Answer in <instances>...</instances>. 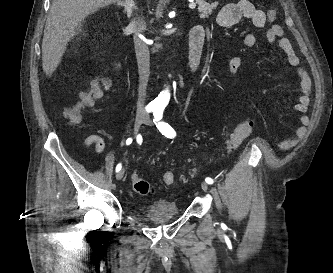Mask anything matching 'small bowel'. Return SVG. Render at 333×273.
Returning a JSON list of instances; mask_svg holds the SVG:
<instances>
[{"mask_svg":"<svg viewBox=\"0 0 333 273\" xmlns=\"http://www.w3.org/2000/svg\"><path fill=\"white\" fill-rule=\"evenodd\" d=\"M266 15L264 11L257 9L254 5L247 0H239L234 3L225 5L219 12L217 17V25L224 28L234 27L239 24L243 17L250 20L252 25L256 28H264L266 26ZM267 39L270 43L278 41L279 47L284 51L287 56L288 62L296 69L297 76L301 86V100L297 106V110L303 112L306 110L309 102V89H308V75L306 71L300 67V60L295 54L289 40L284 37L282 28L278 24H272L267 31ZM243 42L246 46L252 47L256 44L257 39L254 34L246 33L243 37ZM242 66V59L240 57H232L229 61V72L237 78L240 67ZM253 125V120H249ZM307 117H302V122H306ZM303 129L298 128L296 135L283 143V148L293 147L302 135ZM95 147L97 154H102L105 150L106 144L104 139L99 134H91L84 140V147Z\"/></svg>","mask_w":333,"mask_h":273,"instance_id":"c3829d8e","label":"small bowel"}]
</instances>
